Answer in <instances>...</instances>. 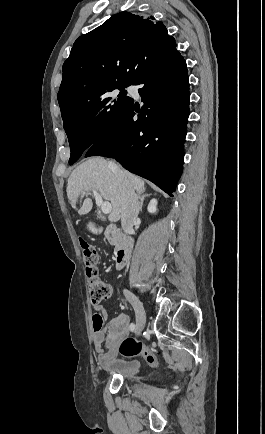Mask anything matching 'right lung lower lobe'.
Returning a JSON list of instances; mask_svg holds the SVG:
<instances>
[{
  "label": "right lung lower lobe",
  "instance_id": "1",
  "mask_svg": "<svg viewBox=\"0 0 265 434\" xmlns=\"http://www.w3.org/2000/svg\"><path fill=\"white\" fill-rule=\"evenodd\" d=\"M133 85L144 105L134 102L120 122L94 143L85 157L115 158L170 196L182 173L189 116V77L186 61L174 48L149 65ZM138 116V119H133Z\"/></svg>",
  "mask_w": 265,
  "mask_h": 434
}]
</instances>
